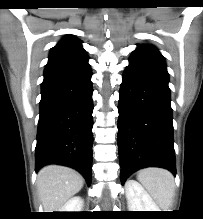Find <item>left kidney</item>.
I'll return each instance as SVG.
<instances>
[{
    "mask_svg": "<svg viewBox=\"0 0 203 219\" xmlns=\"http://www.w3.org/2000/svg\"><path fill=\"white\" fill-rule=\"evenodd\" d=\"M125 192L129 211H159L145 189L135 180H127Z\"/></svg>",
    "mask_w": 203,
    "mask_h": 219,
    "instance_id": "obj_1",
    "label": "left kidney"
}]
</instances>
